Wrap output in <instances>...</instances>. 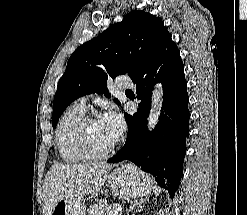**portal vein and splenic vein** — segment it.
<instances>
[{"instance_id": "portal-vein-and-splenic-vein-1", "label": "portal vein and splenic vein", "mask_w": 247, "mask_h": 215, "mask_svg": "<svg viewBox=\"0 0 247 215\" xmlns=\"http://www.w3.org/2000/svg\"><path fill=\"white\" fill-rule=\"evenodd\" d=\"M115 213L116 215H121L122 214V208L121 207H118V208H115Z\"/></svg>"}]
</instances>
